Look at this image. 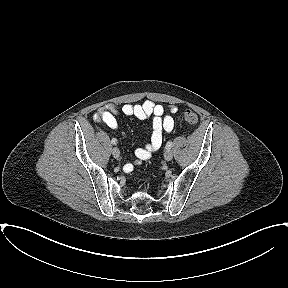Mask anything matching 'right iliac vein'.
Listing matches in <instances>:
<instances>
[{"label": "right iliac vein", "mask_w": 288, "mask_h": 288, "mask_svg": "<svg viewBox=\"0 0 288 288\" xmlns=\"http://www.w3.org/2000/svg\"><path fill=\"white\" fill-rule=\"evenodd\" d=\"M112 155H113L114 158L118 159V158L120 157V151H119V149L116 148V147L113 148V149H112Z\"/></svg>", "instance_id": "1"}]
</instances>
